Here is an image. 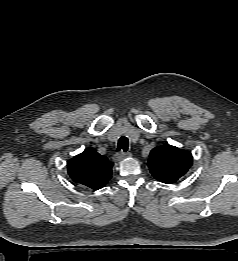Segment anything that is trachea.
<instances>
[{
    "label": "trachea",
    "mask_w": 238,
    "mask_h": 261,
    "mask_svg": "<svg viewBox=\"0 0 238 261\" xmlns=\"http://www.w3.org/2000/svg\"><path fill=\"white\" fill-rule=\"evenodd\" d=\"M128 146H129L128 138L125 136L120 137L118 141L117 150L118 151L123 150L124 152H126L128 150Z\"/></svg>",
    "instance_id": "1"
}]
</instances>
